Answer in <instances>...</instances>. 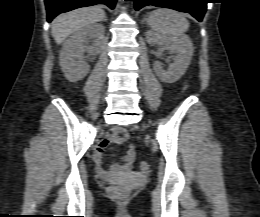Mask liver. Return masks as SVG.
Segmentation results:
<instances>
[{
  "label": "liver",
  "instance_id": "liver-1",
  "mask_svg": "<svg viewBox=\"0 0 260 217\" xmlns=\"http://www.w3.org/2000/svg\"><path fill=\"white\" fill-rule=\"evenodd\" d=\"M105 19L100 7H85L57 16L52 21V36L57 44L62 43L70 34L89 24Z\"/></svg>",
  "mask_w": 260,
  "mask_h": 217
}]
</instances>
